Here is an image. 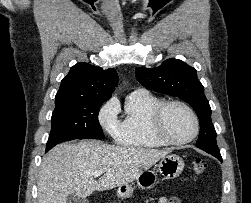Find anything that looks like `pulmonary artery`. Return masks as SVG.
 <instances>
[{
    "label": "pulmonary artery",
    "mask_w": 251,
    "mask_h": 203,
    "mask_svg": "<svg viewBox=\"0 0 251 203\" xmlns=\"http://www.w3.org/2000/svg\"><path fill=\"white\" fill-rule=\"evenodd\" d=\"M147 93H148L147 90L140 88V89L133 91L131 94H147Z\"/></svg>",
    "instance_id": "obj_1"
}]
</instances>
